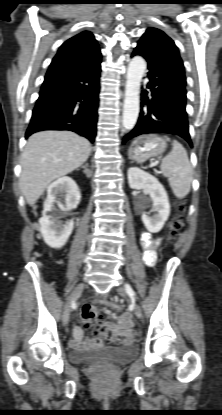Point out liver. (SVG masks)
Segmentation results:
<instances>
[{
	"mask_svg": "<svg viewBox=\"0 0 222 415\" xmlns=\"http://www.w3.org/2000/svg\"><path fill=\"white\" fill-rule=\"evenodd\" d=\"M90 142L70 131H43L29 137L21 158L20 189L33 206L52 181L80 167Z\"/></svg>",
	"mask_w": 222,
	"mask_h": 415,
	"instance_id": "6515ba94",
	"label": "liver"
}]
</instances>
